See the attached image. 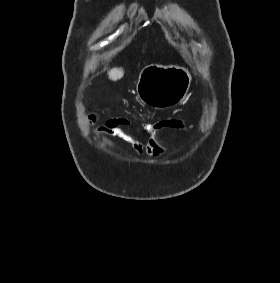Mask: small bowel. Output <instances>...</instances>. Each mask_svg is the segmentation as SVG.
Wrapping results in <instances>:
<instances>
[{
    "mask_svg": "<svg viewBox=\"0 0 280 283\" xmlns=\"http://www.w3.org/2000/svg\"><path fill=\"white\" fill-rule=\"evenodd\" d=\"M95 120L96 116L94 114L88 116V123H94ZM167 128L185 131L187 125L183 120L178 118H168L154 124L146 125L145 131L147 138L143 142L129 129V121L110 120L98 130V134L123 139L129 143L139 155L160 157L164 155L165 151L158 141V132Z\"/></svg>",
    "mask_w": 280,
    "mask_h": 283,
    "instance_id": "small-bowel-1",
    "label": "small bowel"
}]
</instances>
